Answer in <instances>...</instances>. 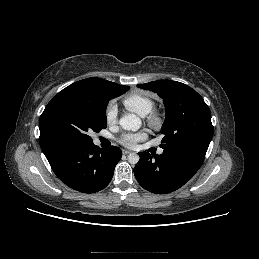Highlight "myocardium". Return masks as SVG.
Wrapping results in <instances>:
<instances>
[{
    "mask_svg": "<svg viewBox=\"0 0 259 259\" xmlns=\"http://www.w3.org/2000/svg\"><path fill=\"white\" fill-rule=\"evenodd\" d=\"M148 124L154 128L159 129L163 124V116L159 111H151L147 115Z\"/></svg>",
    "mask_w": 259,
    "mask_h": 259,
    "instance_id": "obj_1",
    "label": "myocardium"
}]
</instances>
